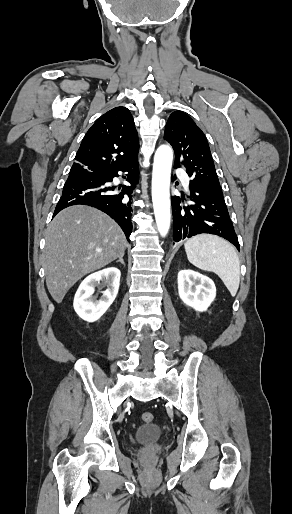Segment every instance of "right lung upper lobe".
<instances>
[{
    "instance_id": "right-lung-upper-lobe-1",
    "label": "right lung upper lobe",
    "mask_w": 292,
    "mask_h": 514,
    "mask_svg": "<svg viewBox=\"0 0 292 514\" xmlns=\"http://www.w3.org/2000/svg\"><path fill=\"white\" fill-rule=\"evenodd\" d=\"M138 134L130 111L115 107L88 130L70 173H103L137 160Z\"/></svg>"
}]
</instances>
